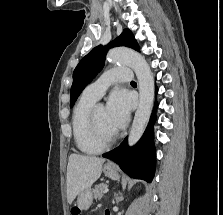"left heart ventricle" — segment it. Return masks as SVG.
<instances>
[{"label":"left heart ventricle","mask_w":223,"mask_h":215,"mask_svg":"<svg viewBox=\"0 0 223 215\" xmlns=\"http://www.w3.org/2000/svg\"><path fill=\"white\" fill-rule=\"evenodd\" d=\"M97 120L104 140H112L117 133V129L107 119L104 107H97Z\"/></svg>","instance_id":"obj_1"}]
</instances>
